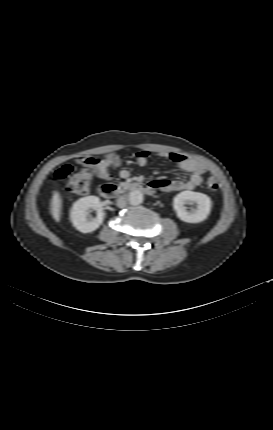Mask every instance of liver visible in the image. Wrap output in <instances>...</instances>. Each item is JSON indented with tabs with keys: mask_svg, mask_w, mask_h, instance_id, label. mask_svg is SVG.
<instances>
[{
	"mask_svg": "<svg viewBox=\"0 0 273 430\" xmlns=\"http://www.w3.org/2000/svg\"><path fill=\"white\" fill-rule=\"evenodd\" d=\"M62 199L58 192H54L51 200V213L55 221L59 222L61 217Z\"/></svg>",
	"mask_w": 273,
	"mask_h": 430,
	"instance_id": "liver-1",
	"label": "liver"
}]
</instances>
